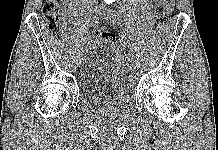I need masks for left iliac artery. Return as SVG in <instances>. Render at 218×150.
<instances>
[{
  "mask_svg": "<svg viewBox=\"0 0 218 150\" xmlns=\"http://www.w3.org/2000/svg\"><path fill=\"white\" fill-rule=\"evenodd\" d=\"M126 22L125 19H120V25H119V30H123L124 32L127 30L126 28ZM132 57L129 58V61H126L127 66L130 64L131 66L134 65V63L130 62L131 58H134L133 55H131ZM128 68V67H127ZM132 68V67H131Z\"/></svg>",
  "mask_w": 218,
  "mask_h": 150,
  "instance_id": "obj_1",
  "label": "left iliac artery"
}]
</instances>
